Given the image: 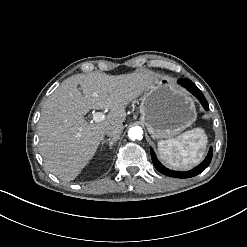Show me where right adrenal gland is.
I'll list each match as a JSON object with an SVG mask.
<instances>
[{"mask_svg": "<svg viewBox=\"0 0 247 247\" xmlns=\"http://www.w3.org/2000/svg\"><path fill=\"white\" fill-rule=\"evenodd\" d=\"M116 142V139L113 138H108V139H103L101 141V144L103 145L104 143H108L109 144V148L112 149L113 144Z\"/></svg>", "mask_w": 247, "mask_h": 247, "instance_id": "obj_1", "label": "right adrenal gland"}]
</instances>
